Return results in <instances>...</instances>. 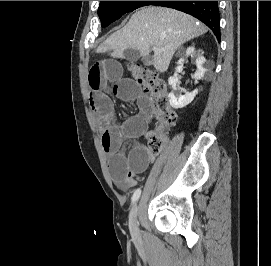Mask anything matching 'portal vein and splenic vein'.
<instances>
[{"instance_id": "1", "label": "portal vein and splenic vein", "mask_w": 271, "mask_h": 266, "mask_svg": "<svg viewBox=\"0 0 271 266\" xmlns=\"http://www.w3.org/2000/svg\"><path fill=\"white\" fill-rule=\"evenodd\" d=\"M153 51H154V53H158V52H160L161 50H160L159 48H157V47H153Z\"/></svg>"}]
</instances>
